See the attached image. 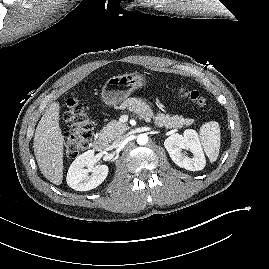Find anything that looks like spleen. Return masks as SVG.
<instances>
[{
  "instance_id": "3e777b00",
  "label": "spleen",
  "mask_w": 269,
  "mask_h": 269,
  "mask_svg": "<svg viewBox=\"0 0 269 269\" xmlns=\"http://www.w3.org/2000/svg\"><path fill=\"white\" fill-rule=\"evenodd\" d=\"M201 144L210 162L217 160L220 149V126L216 121L203 124L199 131Z\"/></svg>"
}]
</instances>
